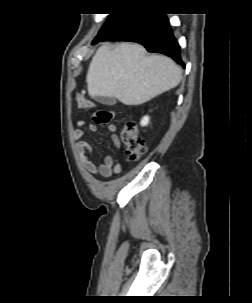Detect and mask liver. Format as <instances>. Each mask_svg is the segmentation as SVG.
I'll use <instances>...</instances> for the list:
<instances>
[{
    "label": "liver",
    "mask_w": 252,
    "mask_h": 303,
    "mask_svg": "<svg viewBox=\"0 0 252 303\" xmlns=\"http://www.w3.org/2000/svg\"><path fill=\"white\" fill-rule=\"evenodd\" d=\"M182 70L162 55L146 56L139 44L102 45L89 65L86 82L91 97H114L125 105H140L176 87Z\"/></svg>",
    "instance_id": "6515ba94"
}]
</instances>
